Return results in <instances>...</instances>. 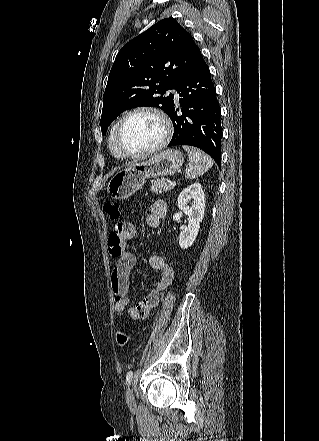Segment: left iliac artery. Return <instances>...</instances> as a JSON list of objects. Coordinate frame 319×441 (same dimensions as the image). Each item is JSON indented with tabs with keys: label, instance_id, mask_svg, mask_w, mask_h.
I'll return each mask as SVG.
<instances>
[{
	"label": "left iliac artery",
	"instance_id": "left-iliac-artery-1",
	"mask_svg": "<svg viewBox=\"0 0 319 441\" xmlns=\"http://www.w3.org/2000/svg\"><path fill=\"white\" fill-rule=\"evenodd\" d=\"M132 378H133V372L132 371H128L127 375H126V384L127 385H130V383L132 381Z\"/></svg>",
	"mask_w": 319,
	"mask_h": 441
}]
</instances>
